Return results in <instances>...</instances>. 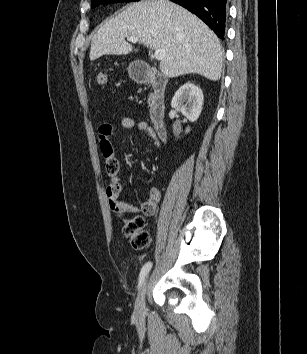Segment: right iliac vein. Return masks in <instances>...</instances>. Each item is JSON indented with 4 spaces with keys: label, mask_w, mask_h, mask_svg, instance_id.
Masks as SVG:
<instances>
[{
    "label": "right iliac vein",
    "mask_w": 307,
    "mask_h": 354,
    "mask_svg": "<svg viewBox=\"0 0 307 354\" xmlns=\"http://www.w3.org/2000/svg\"><path fill=\"white\" fill-rule=\"evenodd\" d=\"M146 289H147V281L144 282L135 303V315L139 321H142L145 318V314H146V309H145Z\"/></svg>",
    "instance_id": "obj_1"
}]
</instances>
